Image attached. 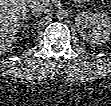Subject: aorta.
Returning a JSON list of instances; mask_svg holds the SVG:
<instances>
[{"label": "aorta", "mask_w": 111, "mask_h": 106, "mask_svg": "<svg viewBox=\"0 0 111 106\" xmlns=\"http://www.w3.org/2000/svg\"><path fill=\"white\" fill-rule=\"evenodd\" d=\"M67 16V12L63 9H59L57 12H56V17L58 19H64L65 17Z\"/></svg>", "instance_id": "1"}]
</instances>
